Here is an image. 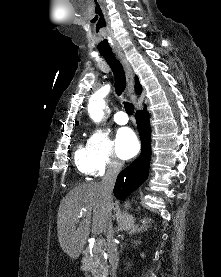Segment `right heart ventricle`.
<instances>
[{"instance_id":"e07e8e85","label":"right heart ventricle","mask_w":221,"mask_h":277,"mask_svg":"<svg viewBox=\"0 0 221 277\" xmlns=\"http://www.w3.org/2000/svg\"><path fill=\"white\" fill-rule=\"evenodd\" d=\"M75 165L79 172L85 176L92 174V166L89 159L88 145L80 144L74 155Z\"/></svg>"}]
</instances>
